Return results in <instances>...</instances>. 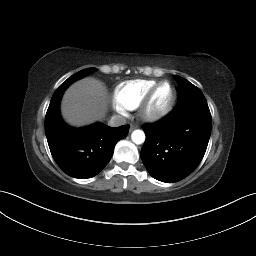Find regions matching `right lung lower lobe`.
<instances>
[{
    "mask_svg": "<svg viewBox=\"0 0 256 256\" xmlns=\"http://www.w3.org/2000/svg\"><path fill=\"white\" fill-rule=\"evenodd\" d=\"M62 94L53 95L45 117V134L51 154L67 175L79 179L94 177L110 161L116 143L127 136L129 126L112 128L96 123L85 128H71L59 113Z\"/></svg>",
    "mask_w": 256,
    "mask_h": 256,
    "instance_id": "1",
    "label": "right lung lower lobe"
}]
</instances>
